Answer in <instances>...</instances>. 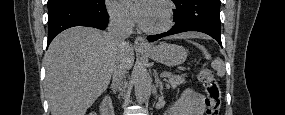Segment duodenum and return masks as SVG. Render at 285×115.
<instances>
[{
    "label": "duodenum",
    "instance_id": "duodenum-1",
    "mask_svg": "<svg viewBox=\"0 0 285 115\" xmlns=\"http://www.w3.org/2000/svg\"><path fill=\"white\" fill-rule=\"evenodd\" d=\"M100 111L102 115H113V108L108 98L102 101Z\"/></svg>",
    "mask_w": 285,
    "mask_h": 115
}]
</instances>
